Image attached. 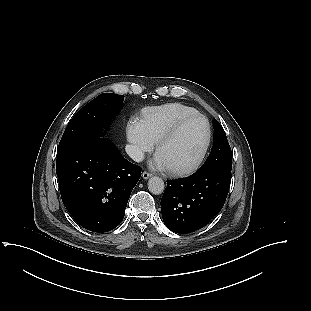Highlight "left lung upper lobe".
I'll return each instance as SVG.
<instances>
[{
	"instance_id": "obj_1",
	"label": "left lung upper lobe",
	"mask_w": 311,
	"mask_h": 311,
	"mask_svg": "<svg viewBox=\"0 0 311 311\" xmlns=\"http://www.w3.org/2000/svg\"><path fill=\"white\" fill-rule=\"evenodd\" d=\"M214 141L211 153L200 169L218 167L231 171L232 154L226 134L216 119H213Z\"/></svg>"
}]
</instances>
